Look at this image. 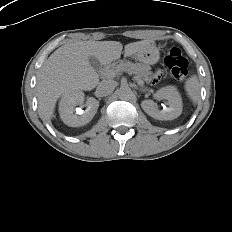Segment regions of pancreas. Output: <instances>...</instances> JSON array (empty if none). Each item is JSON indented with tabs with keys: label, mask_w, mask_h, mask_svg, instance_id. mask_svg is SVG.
Here are the masks:
<instances>
[{
	"label": "pancreas",
	"mask_w": 232,
	"mask_h": 232,
	"mask_svg": "<svg viewBox=\"0 0 232 232\" xmlns=\"http://www.w3.org/2000/svg\"><path fill=\"white\" fill-rule=\"evenodd\" d=\"M150 67L145 64L141 63H132L130 61H121L118 64L113 63L109 66L107 70H111L114 72H127L129 74L134 75V79L138 81H145L149 79V76H151Z\"/></svg>",
	"instance_id": "obj_1"
}]
</instances>
